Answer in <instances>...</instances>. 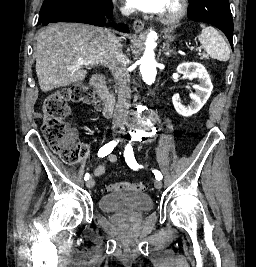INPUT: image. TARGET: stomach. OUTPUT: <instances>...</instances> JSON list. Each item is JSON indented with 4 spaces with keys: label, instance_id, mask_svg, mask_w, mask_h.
Segmentation results:
<instances>
[{
    "label": "stomach",
    "instance_id": "stomach-1",
    "mask_svg": "<svg viewBox=\"0 0 256 267\" xmlns=\"http://www.w3.org/2000/svg\"><path fill=\"white\" fill-rule=\"evenodd\" d=\"M165 38H167V40H174V36H171V34H166Z\"/></svg>",
    "mask_w": 256,
    "mask_h": 267
}]
</instances>
